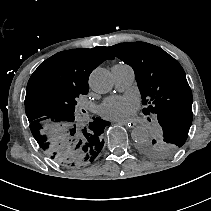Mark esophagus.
<instances>
[{
	"label": "esophagus",
	"mask_w": 211,
	"mask_h": 211,
	"mask_svg": "<svg viewBox=\"0 0 211 211\" xmlns=\"http://www.w3.org/2000/svg\"><path fill=\"white\" fill-rule=\"evenodd\" d=\"M112 122L118 123L120 125H126L128 130H131L135 126V123L129 120H112Z\"/></svg>",
	"instance_id": "34e87169"
}]
</instances>
